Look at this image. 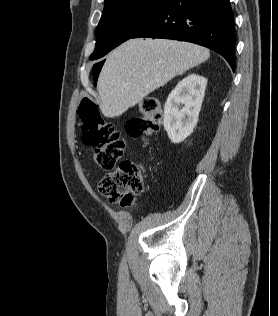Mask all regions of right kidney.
Instances as JSON below:
<instances>
[{
    "instance_id": "1",
    "label": "right kidney",
    "mask_w": 278,
    "mask_h": 316,
    "mask_svg": "<svg viewBox=\"0 0 278 316\" xmlns=\"http://www.w3.org/2000/svg\"><path fill=\"white\" fill-rule=\"evenodd\" d=\"M207 79L191 74L180 81L168 96L164 107V129L173 143L186 139L197 124ZM180 104L184 107L180 110Z\"/></svg>"
}]
</instances>
